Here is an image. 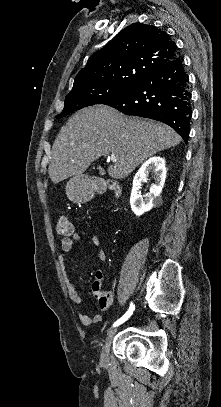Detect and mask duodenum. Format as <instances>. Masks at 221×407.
Listing matches in <instances>:
<instances>
[{
    "instance_id": "obj_1",
    "label": "duodenum",
    "mask_w": 221,
    "mask_h": 407,
    "mask_svg": "<svg viewBox=\"0 0 221 407\" xmlns=\"http://www.w3.org/2000/svg\"><path fill=\"white\" fill-rule=\"evenodd\" d=\"M108 188L113 189L117 196L120 194V188L117 185L108 183H95L89 187L88 196L89 198H91L92 196L105 192Z\"/></svg>"
}]
</instances>
